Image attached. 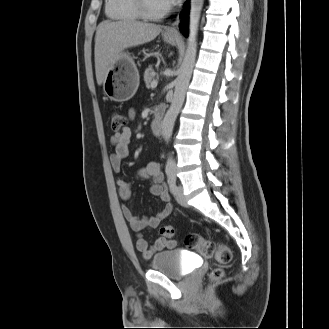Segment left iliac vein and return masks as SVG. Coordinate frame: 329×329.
<instances>
[{
  "instance_id": "1",
  "label": "left iliac vein",
  "mask_w": 329,
  "mask_h": 329,
  "mask_svg": "<svg viewBox=\"0 0 329 329\" xmlns=\"http://www.w3.org/2000/svg\"><path fill=\"white\" fill-rule=\"evenodd\" d=\"M175 198L181 206H184V207L188 206L186 198L183 194V187L182 186L177 187V192L175 193Z\"/></svg>"
}]
</instances>
